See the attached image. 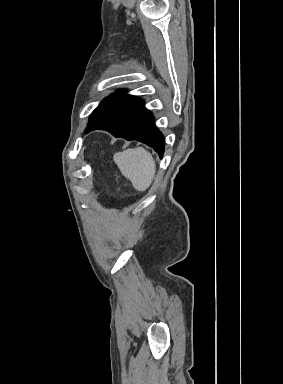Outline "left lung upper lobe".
Masks as SVG:
<instances>
[{
	"label": "left lung upper lobe",
	"mask_w": 283,
	"mask_h": 384,
	"mask_svg": "<svg viewBox=\"0 0 283 384\" xmlns=\"http://www.w3.org/2000/svg\"><path fill=\"white\" fill-rule=\"evenodd\" d=\"M125 96V93L123 91H120L117 94H113L110 97L105 98L90 115V123L99 116H101L103 113H105L107 110L112 108L118 102H120Z\"/></svg>",
	"instance_id": "1"
}]
</instances>
